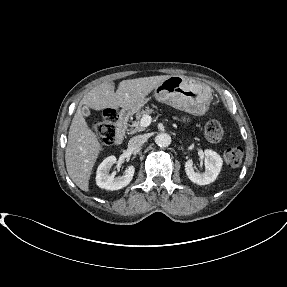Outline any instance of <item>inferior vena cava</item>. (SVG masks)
<instances>
[{
  "mask_svg": "<svg viewBox=\"0 0 287 287\" xmlns=\"http://www.w3.org/2000/svg\"><path fill=\"white\" fill-rule=\"evenodd\" d=\"M146 142V137L143 135H137L132 137L128 142V148L132 151L140 148Z\"/></svg>",
  "mask_w": 287,
  "mask_h": 287,
  "instance_id": "inferior-vena-cava-1",
  "label": "inferior vena cava"
}]
</instances>
